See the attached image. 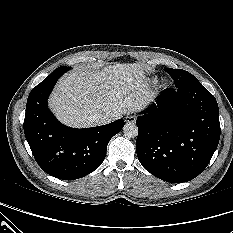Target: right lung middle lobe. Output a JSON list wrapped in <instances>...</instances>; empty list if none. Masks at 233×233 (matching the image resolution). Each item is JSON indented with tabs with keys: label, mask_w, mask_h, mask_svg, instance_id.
I'll use <instances>...</instances> for the list:
<instances>
[{
	"label": "right lung middle lobe",
	"mask_w": 233,
	"mask_h": 233,
	"mask_svg": "<svg viewBox=\"0 0 233 233\" xmlns=\"http://www.w3.org/2000/svg\"><path fill=\"white\" fill-rule=\"evenodd\" d=\"M61 68H67V67H66V66L62 67V66H61V67H59V68H57V69H61ZM68 69H70V68H68Z\"/></svg>",
	"instance_id": "dd1d6c3e"
}]
</instances>
